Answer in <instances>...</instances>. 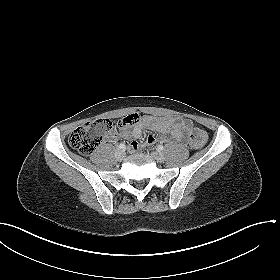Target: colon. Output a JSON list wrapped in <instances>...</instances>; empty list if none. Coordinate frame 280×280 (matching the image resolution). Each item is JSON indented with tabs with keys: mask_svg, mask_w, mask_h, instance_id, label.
<instances>
[{
	"mask_svg": "<svg viewBox=\"0 0 280 280\" xmlns=\"http://www.w3.org/2000/svg\"><path fill=\"white\" fill-rule=\"evenodd\" d=\"M139 121L136 115L126 117L122 125L131 126ZM114 130V125L109 119H97L76 128L69 136L70 146L81 154H91L98 145L109 139ZM188 140L192 148L198 149L204 146L207 141V134L204 130L191 126L188 129ZM138 146V142H131Z\"/></svg>",
	"mask_w": 280,
	"mask_h": 280,
	"instance_id": "obj_1",
	"label": "colon"
}]
</instances>
